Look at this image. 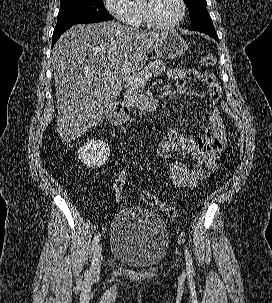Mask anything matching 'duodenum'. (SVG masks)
<instances>
[{
	"mask_svg": "<svg viewBox=\"0 0 272 303\" xmlns=\"http://www.w3.org/2000/svg\"><path fill=\"white\" fill-rule=\"evenodd\" d=\"M155 104L151 101L143 102L138 106L137 111L139 113L148 114L155 110ZM134 109L129 107L122 100L114 102L108 111V120L111 126L121 127L123 126L130 118Z\"/></svg>",
	"mask_w": 272,
	"mask_h": 303,
	"instance_id": "obj_1",
	"label": "duodenum"
}]
</instances>
